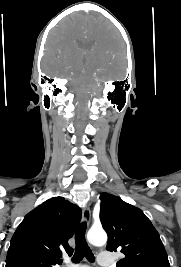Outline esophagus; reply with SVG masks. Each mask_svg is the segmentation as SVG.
I'll return each instance as SVG.
<instances>
[{"instance_id":"esophagus-1","label":"esophagus","mask_w":181,"mask_h":267,"mask_svg":"<svg viewBox=\"0 0 181 267\" xmlns=\"http://www.w3.org/2000/svg\"><path fill=\"white\" fill-rule=\"evenodd\" d=\"M82 217H83V220L89 224L90 221H91V211H90V208L89 206H85L83 208V211H82Z\"/></svg>"}]
</instances>
